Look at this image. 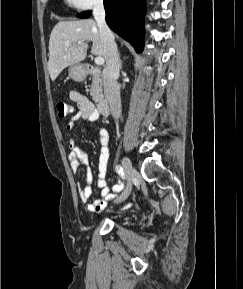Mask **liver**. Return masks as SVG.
<instances>
[{"label": "liver", "mask_w": 243, "mask_h": 289, "mask_svg": "<svg viewBox=\"0 0 243 289\" xmlns=\"http://www.w3.org/2000/svg\"><path fill=\"white\" fill-rule=\"evenodd\" d=\"M88 42H92L93 55L104 56L99 28L94 20L60 21L55 25L49 40L48 71L52 81L63 69L86 58ZM66 43L70 45L66 46Z\"/></svg>", "instance_id": "1"}]
</instances>
